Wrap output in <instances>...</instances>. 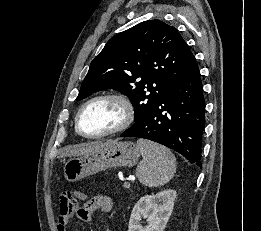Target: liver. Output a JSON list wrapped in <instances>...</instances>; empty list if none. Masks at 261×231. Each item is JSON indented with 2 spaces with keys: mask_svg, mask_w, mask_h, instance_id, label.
<instances>
[{
  "mask_svg": "<svg viewBox=\"0 0 261 231\" xmlns=\"http://www.w3.org/2000/svg\"><path fill=\"white\" fill-rule=\"evenodd\" d=\"M114 141L109 140L106 142H91L87 144H80L73 146L71 148H66L61 157L69 156V157H80L86 156L95 152L102 150L103 148L109 146Z\"/></svg>",
  "mask_w": 261,
  "mask_h": 231,
  "instance_id": "obj_1",
  "label": "liver"
}]
</instances>
